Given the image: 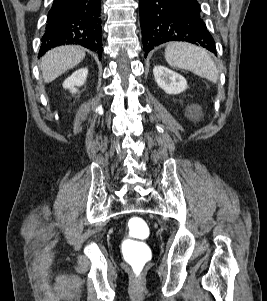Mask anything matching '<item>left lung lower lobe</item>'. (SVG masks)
<instances>
[{
	"label": "left lung lower lobe",
	"mask_w": 267,
	"mask_h": 301,
	"mask_svg": "<svg viewBox=\"0 0 267 301\" xmlns=\"http://www.w3.org/2000/svg\"><path fill=\"white\" fill-rule=\"evenodd\" d=\"M139 6L145 57L168 41L194 43L217 55L197 0H139Z\"/></svg>",
	"instance_id": "0a47b994"
}]
</instances>
